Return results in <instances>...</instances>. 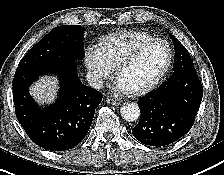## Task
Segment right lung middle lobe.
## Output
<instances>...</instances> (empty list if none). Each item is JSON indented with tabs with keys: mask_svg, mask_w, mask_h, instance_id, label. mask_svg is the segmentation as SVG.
I'll list each match as a JSON object with an SVG mask.
<instances>
[{
	"mask_svg": "<svg viewBox=\"0 0 224 175\" xmlns=\"http://www.w3.org/2000/svg\"><path fill=\"white\" fill-rule=\"evenodd\" d=\"M84 28L80 25L55 27L21 59L18 68H54L76 64L84 57Z\"/></svg>",
	"mask_w": 224,
	"mask_h": 175,
	"instance_id": "1",
	"label": "right lung middle lobe"
}]
</instances>
